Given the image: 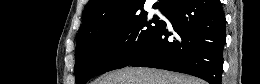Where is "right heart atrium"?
Segmentation results:
<instances>
[{
  "label": "right heart atrium",
  "mask_w": 260,
  "mask_h": 84,
  "mask_svg": "<svg viewBox=\"0 0 260 84\" xmlns=\"http://www.w3.org/2000/svg\"><path fill=\"white\" fill-rule=\"evenodd\" d=\"M124 43V36L123 34H118L114 37L113 41H112V47L114 50H119L122 46V44Z\"/></svg>",
  "instance_id": "1"
}]
</instances>
